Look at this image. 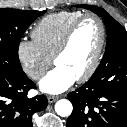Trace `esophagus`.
<instances>
[{
  "instance_id": "esophagus-1",
  "label": "esophagus",
  "mask_w": 127,
  "mask_h": 127,
  "mask_svg": "<svg viewBox=\"0 0 127 127\" xmlns=\"http://www.w3.org/2000/svg\"><path fill=\"white\" fill-rule=\"evenodd\" d=\"M57 99H58V97H56V96H49V97H48V102H49V103H53V102H55Z\"/></svg>"
}]
</instances>
